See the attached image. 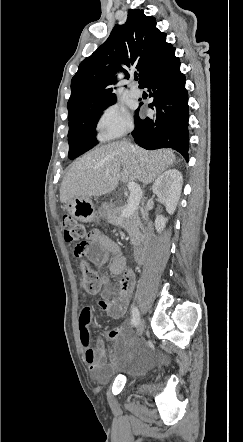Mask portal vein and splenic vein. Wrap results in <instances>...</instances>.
<instances>
[{"mask_svg":"<svg viewBox=\"0 0 243 442\" xmlns=\"http://www.w3.org/2000/svg\"><path fill=\"white\" fill-rule=\"evenodd\" d=\"M128 188L130 190V196L128 199V204L122 212L123 217L131 215L137 209L140 199V187L138 184L133 181L129 182Z\"/></svg>","mask_w":243,"mask_h":442,"instance_id":"1","label":"portal vein and splenic vein"}]
</instances>
